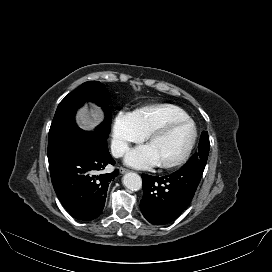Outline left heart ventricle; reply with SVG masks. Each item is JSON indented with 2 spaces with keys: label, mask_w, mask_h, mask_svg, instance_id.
<instances>
[{
  "label": "left heart ventricle",
  "mask_w": 272,
  "mask_h": 272,
  "mask_svg": "<svg viewBox=\"0 0 272 272\" xmlns=\"http://www.w3.org/2000/svg\"><path fill=\"white\" fill-rule=\"evenodd\" d=\"M192 138V128L188 124H179L165 134L152 139L148 146L158 163H170L177 160L187 149Z\"/></svg>",
  "instance_id": "left-heart-ventricle-1"
}]
</instances>
